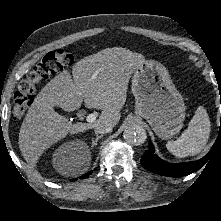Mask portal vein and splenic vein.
<instances>
[{"mask_svg": "<svg viewBox=\"0 0 221 221\" xmlns=\"http://www.w3.org/2000/svg\"><path fill=\"white\" fill-rule=\"evenodd\" d=\"M95 120H96V115H95V114H89V115L86 117V121H87L88 123H93V122H95Z\"/></svg>", "mask_w": 221, "mask_h": 221, "instance_id": "portal-vein-and-splenic-vein-1", "label": "portal vein and splenic vein"}]
</instances>
